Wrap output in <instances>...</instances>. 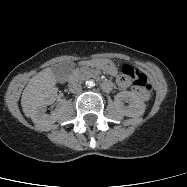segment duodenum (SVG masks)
<instances>
[{
	"instance_id": "1",
	"label": "duodenum",
	"mask_w": 187,
	"mask_h": 187,
	"mask_svg": "<svg viewBox=\"0 0 187 187\" xmlns=\"http://www.w3.org/2000/svg\"><path fill=\"white\" fill-rule=\"evenodd\" d=\"M101 86L105 91H109L112 88V84L109 81H103Z\"/></svg>"
}]
</instances>
